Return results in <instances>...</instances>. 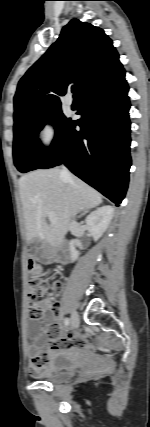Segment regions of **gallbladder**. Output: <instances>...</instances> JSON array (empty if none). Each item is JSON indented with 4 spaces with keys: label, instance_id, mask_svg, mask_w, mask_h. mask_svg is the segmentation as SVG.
<instances>
[{
    "label": "gallbladder",
    "instance_id": "obj_1",
    "mask_svg": "<svg viewBox=\"0 0 150 427\" xmlns=\"http://www.w3.org/2000/svg\"><path fill=\"white\" fill-rule=\"evenodd\" d=\"M29 246L32 256L37 260L42 263H49L51 261V257L46 254V246L42 241L34 239L30 241Z\"/></svg>",
    "mask_w": 150,
    "mask_h": 427
}]
</instances>
